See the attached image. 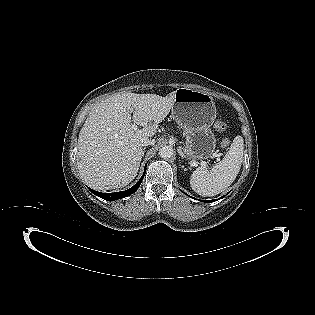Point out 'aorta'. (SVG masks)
Masks as SVG:
<instances>
[{
    "instance_id": "762f6f07",
    "label": "aorta",
    "mask_w": 315,
    "mask_h": 315,
    "mask_svg": "<svg viewBox=\"0 0 315 315\" xmlns=\"http://www.w3.org/2000/svg\"><path fill=\"white\" fill-rule=\"evenodd\" d=\"M173 148L172 146H169V145H166V146H163L162 148L159 149V155L160 157L162 158H170L172 155H173Z\"/></svg>"
}]
</instances>
